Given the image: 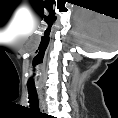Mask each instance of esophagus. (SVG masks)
<instances>
[{
  "label": "esophagus",
  "instance_id": "1",
  "mask_svg": "<svg viewBox=\"0 0 118 118\" xmlns=\"http://www.w3.org/2000/svg\"><path fill=\"white\" fill-rule=\"evenodd\" d=\"M39 99H40L41 111L45 112L46 111V105H45L43 93L41 91L39 92Z\"/></svg>",
  "mask_w": 118,
  "mask_h": 118
}]
</instances>
